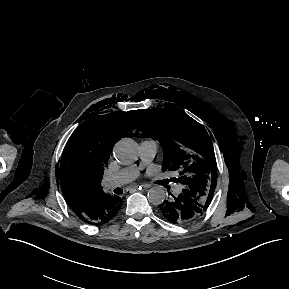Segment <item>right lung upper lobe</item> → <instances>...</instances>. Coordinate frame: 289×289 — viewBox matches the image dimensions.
<instances>
[{
	"instance_id": "right-lung-upper-lobe-1",
	"label": "right lung upper lobe",
	"mask_w": 289,
	"mask_h": 289,
	"mask_svg": "<svg viewBox=\"0 0 289 289\" xmlns=\"http://www.w3.org/2000/svg\"><path fill=\"white\" fill-rule=\"evenodd\" d=\"M129 112H113L83 122L65 147L57 178L69 207L85 211L104 193L101 181L114 143L135 128ZM131 135V134H129Z\"/></svg>"
}]
</instances>
